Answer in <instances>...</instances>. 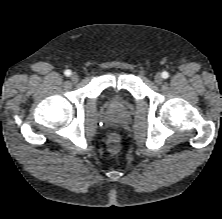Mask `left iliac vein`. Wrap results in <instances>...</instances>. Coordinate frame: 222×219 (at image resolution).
Returning a JSON list of instances; mask_svg holds the SVG:
<instances>
[{"instance_id":"1","label":"left iliac vein","mask_w":222,"mask_h":219,"mask_svg":"<svg viewBox=\"0 0 222 219\" xmlns=\"http://www.w3.org/2000/svg\"><path fill=\"white\" fill-rule=\"evenodd\" d=\"M154 81L157 84H161L163 82V77L160 73H157L154 77Z\"/></svg>"}]
</instances>
